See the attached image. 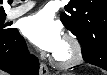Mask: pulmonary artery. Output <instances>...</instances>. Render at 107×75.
Wrapping results in <instances>:
<instances>
[{"instance_id": "pulmonary-artery-1", "label": "pulmonary artery", "mask_w": 107, "mask_h": 75, "mask_svg": "<svg viewBox=\"0 0 107 75\" xmlns=\"http://www.w3.org/2000/svg\"><path fill=\"white\" fill-rule=\"evenodd\" d=\"M33 5L34 4L32 2H27L25 4L12 8L8 12V18L14 19L25 14L27 11H29L33 7Z\"/></svg>"}]
</instances>
